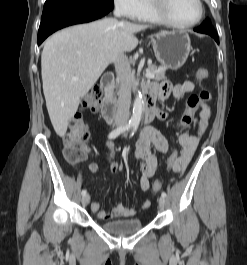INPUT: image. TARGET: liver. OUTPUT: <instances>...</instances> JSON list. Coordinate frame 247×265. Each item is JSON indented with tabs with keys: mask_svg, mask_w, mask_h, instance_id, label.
Segmentation results:
<instances>
[{
	"mask_svg": "<svg viewBox=\"0 0 247 265\" xmlns=\"http://www.w3.org/2000/svg\"><path fill=\"white\" fill-rule=\"evenodd\" d=\"M147 25L104 18L63 29L44 43L41 74L46 107L56 134L63 137L80 99L107 66L138 45L135 33ZM78 77L74 81L73 78Z\"/></svg>",
	"mask_w": 247,
	"mask_h": 265,
	"instance_id": "6515ba94",
	"label": "liver"
}]
</instances>
